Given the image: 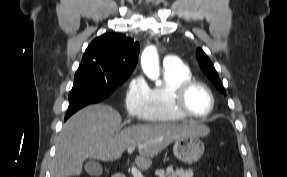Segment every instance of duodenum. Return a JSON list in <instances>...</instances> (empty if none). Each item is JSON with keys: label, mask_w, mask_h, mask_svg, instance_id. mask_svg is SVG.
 Listing matches in <instances>:
<instances>
[{"label": "duodenum", "mask_w": 287, "mask_h": 177, "mask_svg": "<svg viewBox=\"0 0 287 177\" xmlns=\"http://www.w3.org/2000/svg\"><path fill=\"white\" fill-rule=\"evenodd\" d=\"M112 177H125L123 174H115Z\"/></svg>", "instance_id": "duodenum-1"}]
</instances>
